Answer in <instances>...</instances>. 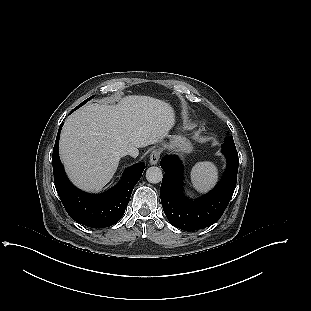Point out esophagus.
<instances>
[{
    "instance_id": "1",
    "label": "esophagus",
    "mask_w": 311,
    "mask_h": 311,
    "mask_svg": "<svg viewBox=\"0 0 311 311\" xmlns=\"http://www.w3.org/2000/svg\"><path fill=\"white\" fill-rule=\"evenodd\" d=\"M161 151L159 149H155L151 152L149 162L151 165H155L158 163L160 159Z\"/></svg>"
}]
</instances>
